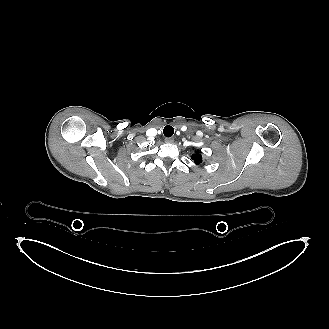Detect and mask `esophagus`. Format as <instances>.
Wrapping results in <instances>:
<instances>
[{"instance_id":"obj_1","label":"esophagus","mask_w":329,"mask_h":329,"mask_svg":"<svg viewBox=\"0 0 329 329\" xmlns=\"http://www.w3.org/2000/svg\"><path fill=\"white\" fill-rule=\"evenodd\" d=\"M165 142L166 143H173L174 142V139L172 137L165 138Z\"/></svg>"}]
</instances>
